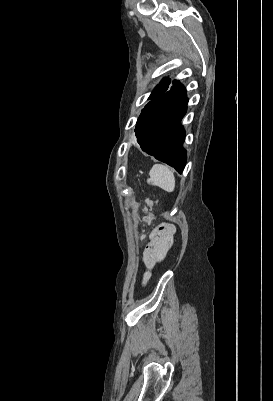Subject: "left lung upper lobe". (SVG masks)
<instances>
[{"instance_id": "left-lung-upper-lobe-1", "label": "left lung upper lobe", "mask_w": 273, "mask_h": 401, "mask_svg": "<svg viewBox=\"0 0 273 401\" xmlns=\"http://www.w3.org/2000/svg\"><path fill=\"white\" fill-rule=\"evenodd\" d=\"M171 80L169 78H164L160 84L154 89V91L152 92V94L149 96L148 99H153L155 98L157 95L164 93L165 91H167V89L169 88V84H170Z\"/></svg>"}]
</instances>
